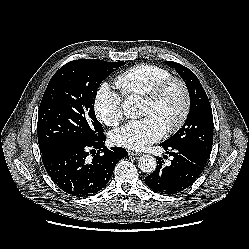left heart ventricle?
<instances>
[{"label":"left heart ventricle","mask_w":249,"mask_h":249,"mask_svg":"<svg viewBox=\"0 0 249 249\" xmlns=\"http://www.w3.org/2000/svg\"><path fill=\"white\" fill-rule=\"evenodd\" d=\"M181 105V92L176 85H171L156 104L144 100L142 103L141 115H152L156 117L164 128H166L178 117Z\"/></svg>","instance_id":"left-heart-ventricle-1"}]
</instances>
